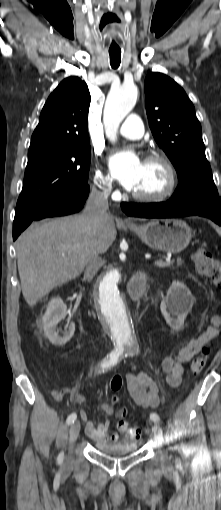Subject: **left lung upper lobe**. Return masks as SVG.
<instances>
[{"instance_id": "1", "label": "left lung upper lobe", "mask_w": 221, "mask_h": 510, "mask_svg": "<svg viewBox=\"0 0 221 510\" xmlns=\"http://www.w3.org/2000/svg\"><path fill=\"white\" fill-rule=\"evenodd\" d=\"M145 96L154 139L171 160L179 179L168 201L183 206L220 207L201 125L185 91L168 76L150 73L145 78Z\"/></svg>"}]
</instances>
